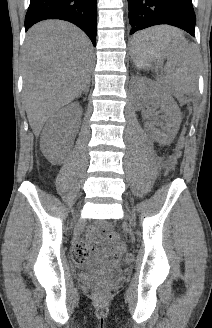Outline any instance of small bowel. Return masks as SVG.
I'll use <instances>...</instances> for the list:
<instances>
[{
  "label": "small bowel",
  "mask_w": 212,
  "mask_h": 328,
  "mask_svg": "<svg viewBox=\"0 0 212 328\" xmlns=\"http://www.w3.org/2000/svg\"><path fill=\"white\" fill-rule=\"evenodd\" d=\"M88 241H77L74 246L73 253H78L83 260H85L90 253H97L106 266H117L120 262L121 252L116 250L112 245L104 244L98 234V230L95 227H91L88 230Z\"/></svg>",
  "instance_id": "small-bowel-1"
}]
</instances>
